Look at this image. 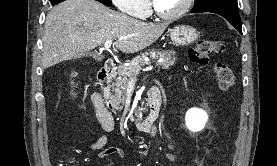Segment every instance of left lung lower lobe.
Instances as JSON below:
<instances>
[{
	"label": "left lung lower lobe",
	"instance_id": "0a47b994",
	"mask_svg": "<svg viewBox=\"0 0 277 166\" xmlns=\"http://www.w3.org/2000/svg\"><path fill=\"white\" fill-rule=\"evenodd\" d=\"M205 12L216 13L223 16L232 26H234L242 34V25L238 12H231L226 10H211Z\"/></svg>",
	"mask_w": 277,
	"mask_h": 166
}]
</instances>
